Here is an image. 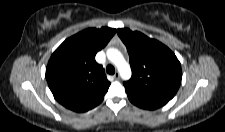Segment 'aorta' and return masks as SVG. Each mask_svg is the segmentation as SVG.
Returning <instances> with one entry per match:
<instances>
[{
	"mask_svg": "<svg viewBox=\"0 0 225 132\" xmlns=\"http://www.w3.org/2000/svg\"><path fill=\"white\" fill-rule=\"evenodd\" d=\"M106 55L108 60L117 67L121 78L129 80L131 78V68L122 53L116 48H109L106 51Z\"/></svg>",
	"mask_w": 225,
	"mask_h": 132,
	"instance_id": "obj_1",
	"label": "aorta"
}]
</instances>
